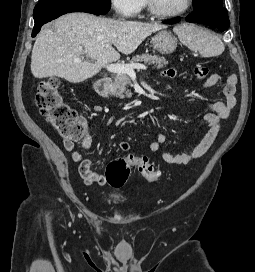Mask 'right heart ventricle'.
<instances>
[{
	"label": "right heart ventricle",
	"mask_w": 255,
	"mask_h": 272,
	"mask_svg": "<svg viewBox=\"0 0 255 272\" xmlns=\"http://www.w3.org/2000/svg\"><path fill=\"white\" fill-rule=\"evenodd\" d=\"M145 5V1L143 0V2H142V7Z\"/></svg>",
	"instance_id": "e07e8e85"
}]
</instances>
